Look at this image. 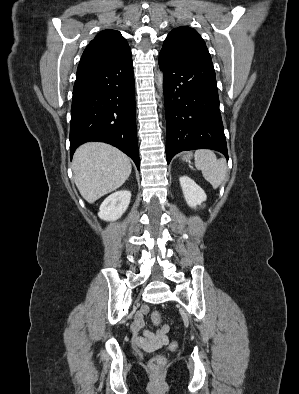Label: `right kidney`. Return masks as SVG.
Segmentation results:
<instances>
[{"mask_svg":"<svg viewBox=\"0 0 299 394\" xmlns=\"http://www.w3.org/2000/svg\"><path fill=\"white\" fill-rule=\"evenodd\" d=\"M131 199V192L127 190L117 191L108 196L99 208L98 216L105 221L119 219L127 210Z\"/></svg>","mask_w":299,"mask_h":394,"instance_id":"ca27d5eb","label":"right kidney"}]
</instances>
